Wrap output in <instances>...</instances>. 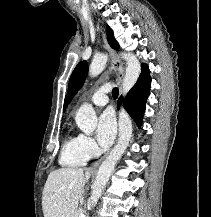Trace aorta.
Listing matches in <instances>:
<instances>
[{"label":"aorta","instance_id":"762f6f07","mask_svg":"<svg viewBox=\"0 0 211 217\" xmlns=\"http://www.w3.org/2000/svg\"><path fill=\"white\" fill-rule=\"evenodd\" d=\"M121 57L127 62L126 73L122 81V94L126 95L137 82L141 72V66L139 60L133 54L122 53ZM106 62L107 56L105 54L95 56L89 66V76L95 77L99 75L104 70ZM75 120L79 129L87 135L92 134L97 126L96 113L90 104H83L78 109ZM118 123V143L99 167L96 180L92 186V206L97 204L117 161L126 150L132 135V122L124 108H121L119 111Z\"/></svg>","mask_w":211,"mask_h":217}]
</instances>
